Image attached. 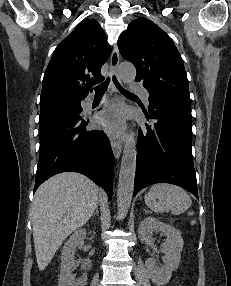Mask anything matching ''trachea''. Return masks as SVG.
Listing matches in <instances>:
<instances>
[{
  "instance_id": "obj_1",
  "label": "trachea",
  "mask_w": 231,
  "mask_h": 286,
  "mask_svg": "<svg viewBox=\"0 0 231 286\" xmlns=\"http://www.w3.org/2000/svg\"><path fill=\"white\" fill-rule=\"evenodd\" d=\"M113 82L116 85V87L118 88V90L124 94V95H129V96H135L133 93L127 91L126 89H124L120 83L117 81L116 77L113 76ZM108 83H109V79H107L104 83H102L101 85L97 86L95 88V95H103L108 87Z\"/></svg>"
}]
</instances>
